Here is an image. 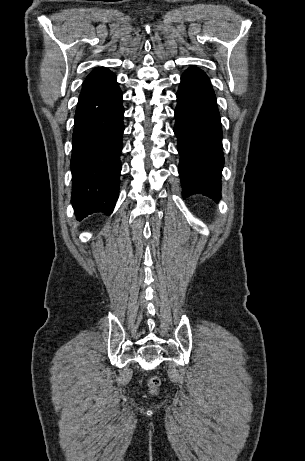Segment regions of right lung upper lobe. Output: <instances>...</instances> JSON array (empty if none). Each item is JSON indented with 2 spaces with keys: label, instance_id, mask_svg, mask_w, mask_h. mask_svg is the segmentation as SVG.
<instances>
[{
  "label": "right lung upper lobe",
  "instance_id": "right-lung-upper-lobe-1",
  "mask_svg": "<svg viewBox=\"0 0 305 461\" xmlns=\"http://www.w3.org/2000/svg\"><path fill=\"white\" fill-rule=\"evenodd\" d=\"M109 73H112V72H110L108 69H104L103 67H102V68L98 67L97 69L93 70V71L87 76V78L95 77V76H101V75H106V74H109Z\"/></svg>",
  "mask_w": 305,
  "mask_h": 461
}]
</instances>
